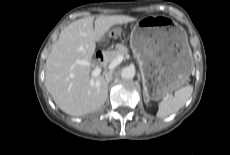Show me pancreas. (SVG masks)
Segmentation results:
<instances>
[{
  "instance_id": "pancreas-1",
  "label": "pancreas",
  "mask_w": 230,
  "mask_h": 155,
  "mask_svg": "<svg viewBox=\"0 0 230 155\" xmlns=\"http://www.w3.org/2000/svg\"><path fill=\"white\" fill-rule=\"evenodd\" d=\"M128 53V49L126 46L122 44H116L115 49L112 51H106L105 52V61L107 63L111 62L113 59H115L119 55L125 56Z\"/></svg>"
}]
</instances>
